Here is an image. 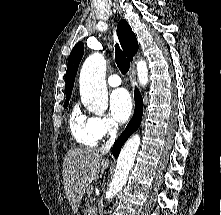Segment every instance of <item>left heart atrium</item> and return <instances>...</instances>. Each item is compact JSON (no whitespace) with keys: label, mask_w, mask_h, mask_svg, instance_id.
<instances>
[{"label":"left heart atrium","mask_w":221,"mask_h":215,"mask_svg":"<svg viewBox=\"0 0 221 215\" xmlns=\"http://www.w3.org/2000/svg\"><path fill=\"white\" fill-rule=\"evenodd\" d=\"M110 111L113 118L124 123L131 115L133 104L129 92L126 89L119 88L110 95Z\"/></svg>","instance_id":"left-heart-atrium-1"}]
</instances>
